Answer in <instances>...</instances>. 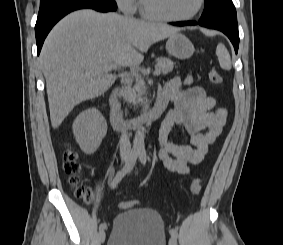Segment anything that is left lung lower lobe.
<instances>
[{
	"label": "left lung lower lobe",
	"instance_id": "0a47b994",
	"mask_svg": "<svg viewBox=\"0 0 283 245\" xmlns=\"http://www.w3.org/2000/svg\"><path fill=\"white\" fill-rule=\"evenodd\" d=\"M198 23L201 26H204V27H207V28H212V29H217V30L222 31L224 34H226L228 36V38L230 39V41L232 42L234 49H235V52L237 53L238 46H239V34H238V32L231 31V30L224 28V27H221V26L206 25V24H202V23L196 22V21L173 22L171 24L175 25V26H186V25H197Z\"/></svg>",
	"mask_w": 283,
	"mask_h": 245
}]
</instances>
